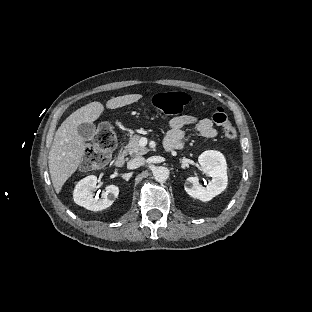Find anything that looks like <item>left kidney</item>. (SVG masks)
<instances>
[{
  "label": "left kidney",
  "mask_w": 312,
  "mask_h": 312,
  "mask_svg": "<svg viewBox=\"0 0 312 312\" xmlns=\"http://www.w3.org/2000/svg\"><path fill=\"white\" fill-rule=\"evenodd\" d=\"M198 162L200 171H205L212 180L203 186L197 177H188L184 190L192 198L208 202L221 194L227 186L226 161L220 152L207 150L198 157Z\"/></svg>",
  "instance_id": "obj_1"
}]
</instances>
